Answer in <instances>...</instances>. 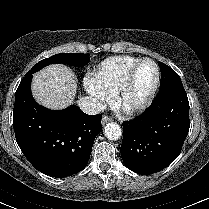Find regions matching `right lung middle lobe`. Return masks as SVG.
I'll use <instances>...</instances> for the list:
<instances>
[{
    "label": "right lung middle lobe",
    "instance_id": "obj_1",
    "mask_svg": "<svg viewBox=\"0 0 209 209\" xmlns=\"http://www.w3.org/2000/svg\"><path fill=\"white\" fill-rule=\"evenodd\" d=\"M90 60L89 55L87 54H79V53H61L53 55L49 58L43 59L38 62L30 71H28L25 75L28 76L33 74L43 67L53 64V63H64L71 66H84Z\"/></svg>",
    "mask_w": 209,
    "mask_h": 209
}]
</instances>
